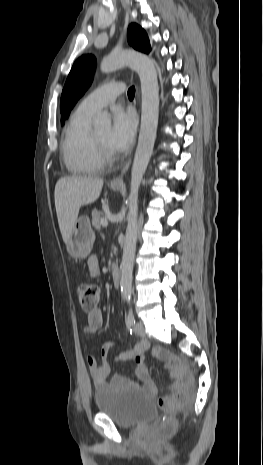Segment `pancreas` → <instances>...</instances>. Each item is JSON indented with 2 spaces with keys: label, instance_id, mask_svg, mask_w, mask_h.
<instances>
[{
  "label": "pancreas",
  "instance_id": "cf45deb5",
  "mask_svg": "<svg viewBox=\"0 0 263 465\" xmlns=\"http://www.w3.org/2000/svg\"><path fill=\"white\" fill-rule=\"evenodd\" d=\"M102 219H103V217H102V213L100 211H94L92 213V225L96 229H101V227H102L101 220Z\"/></svg>",
  "mask_w": 263,
  "mask_h": 465
}]
</instances>
